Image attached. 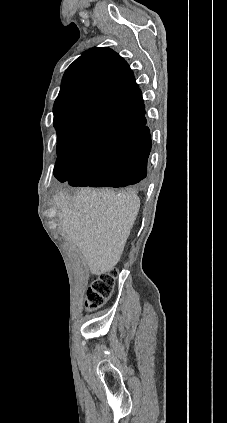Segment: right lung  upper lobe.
<instances>
[{
	"label": "right lung upper lobe",
	"mask_w": 227,
	"mask_h": 423,
	"mask_svg": "<svg viewBox=\"0 0 227 423\" xmlns=\"http://www.w3.org/2000/svg\"><path fill=\"white\" fill-rule=\"evenodd\" d=\"M141 97L127 62L107 47L85 51L66 70L54 103L58 145L90 155L130 137L136 129L109 121L100 110Z\"/></svg>",
	"instance_id": "cb5924a9"
}]
</instances>
